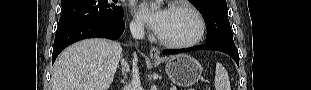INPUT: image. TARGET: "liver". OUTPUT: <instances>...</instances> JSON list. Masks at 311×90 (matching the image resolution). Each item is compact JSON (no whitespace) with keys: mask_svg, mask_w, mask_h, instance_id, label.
I'll use <instances>...</instances> for the list:
<instances>
[{"mask_svg":"<svg viewBox=\"0 0 311 90\" xmlns=\"http://www.w3.org/2000/svg\"><path fill=\"white\" fill-rule=\"evenodd\" d=\"M122 48L106 39H86L66 48L52 69V90H108L113 82ZM134 63L138 58L133 54Z\"/></svg>","mask_w":311,"mask_h":90,"instance_id":"1","label":"liver"}]
</instances>
